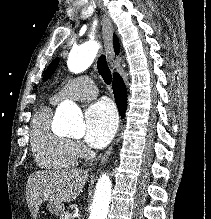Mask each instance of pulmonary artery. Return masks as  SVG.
Returning <instances> with one entry per match:
<instances>
[{"instance_id":"e3ab8cb5","label":"pulmonary artery","mask_w":211,"mask_h":219,"mask_svg":"<svg viewBox=\"0 0 211 219\" xmlns=\"http://www.w3.org/2000/svg\"><path fill=\"white\" fill-rule=\"evenodd\" d=\"M98 95V89L89 77H77L66 82L57 93L51 97L56 104L63 99L91 100Z\"/></svg>"}]
</instances>
